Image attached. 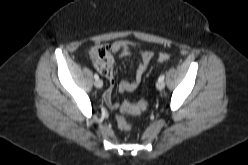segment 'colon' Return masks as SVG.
Masks as SVG:
<instances>
[{
    "instance_id": "1",
    "label": "colon",
    "mask_w": 248,
    "mask_h": 165,
    "mask_svg": "<svg viewBox=\"0 0 248 165\" xmlns=\"http://www.w3.org/2000/svg\"><path fill=\"white\" fill-rule=\"evenodd\" d=\"M89 56L93 61L95 68L104 73L112 68L113 56L112 49L107 43H100L90 48ZM169 54L161 53L158 56L159 62H165L169 59ZM113 107L118 108V105L112 104ZM148 107L146 100H140L137 103L124 102L119 106V114L117 116V125L123 131H130L131 125L124 116L125 113L139 114L145 111Z\"/></svg>"
}]
</instances>
